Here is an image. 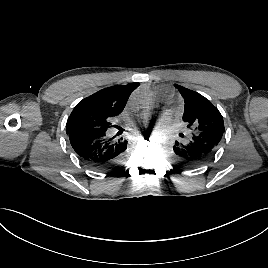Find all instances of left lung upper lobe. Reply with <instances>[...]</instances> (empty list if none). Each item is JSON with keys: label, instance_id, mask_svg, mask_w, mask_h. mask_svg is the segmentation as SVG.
Wrapping results in <instances>:
<instances>
[{"label": "left lung upper lobe", "instance_id": "5c2ea615", "mask_svg": "<svg viewBox=\"0 0 268 268\" xmlns=\"http://www.w3.org/2000/svg\"><path fill=\"white\" fill-rule=\"evenodd\" d=\"M181 93L185 108L183 121L194 133L203 131H225L223 117L219 110L201 94L175 84Z\"/></svg>", "mask_w": 268, "mask_h": 268}]
</instances>
